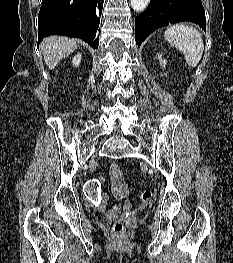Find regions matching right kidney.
<instances>
[{"instance_id": "1", "label": "right kidney", "mask_w": 233, "mask_h": 263, "mask_svg": "<svg viewBox=\"0 0 233 263\" xmlns=\"http://www.w3.org/2000/svg\"><path fill=\"white\" fill-rule=\"evenodd\" d=\"M80 62H81V54H77V55L73 58L72 64H73V66L77 67V66H79Z\"/></svg>"}]
</instances>
